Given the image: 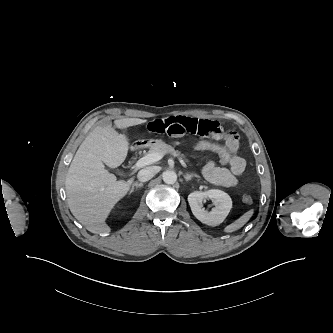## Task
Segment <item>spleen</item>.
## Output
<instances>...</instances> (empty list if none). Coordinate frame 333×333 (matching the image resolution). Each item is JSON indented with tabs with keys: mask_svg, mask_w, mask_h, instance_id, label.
<instances>
[{
	"mask_svg": "<svg viewBox=\"0 0 333 333\" xmlns=\"http://www.w3.org/2000/svg\"><path fill=\"white\" fill-rule=\"evenodd\" d=\"M253 213H254L253 209L245 212L237 220H235L231 224L227 225L224 228V232L231 233V232L237 231L238 229H240L241 227H243L251 219V217L253 216Z\"/></svg>",
	"mask_w": 333,
	"mask_h": 333,
	"instance_id": "3e777b00",
	"label": "spleen"
}]
</instances>
